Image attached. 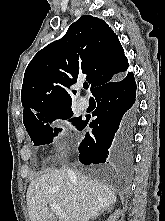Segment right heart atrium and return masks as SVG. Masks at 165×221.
Segmentation results:
<instances>
[{
  "label": "right heart atrium",
  "instance_id": "d8ad5b80",
  "mask_svg": "<svg viewBox=\"0 0 165 221\" xmlns=\"http://www.w3.org/2000/svg\"><path fill=\"white\" fill-rule=\"evenodd\" d=\"M72 139V130L65 118L53 122L52 143L56 154H62Z\"/></svg>",
  "mask_w": 165,
  "mask_h": 221
}]
</instances>
